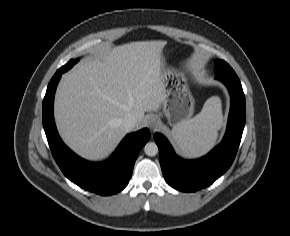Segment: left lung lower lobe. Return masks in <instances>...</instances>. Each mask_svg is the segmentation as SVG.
<instances>
[{
	"label": "left lung lower lobe",
	"instance_id": "left-lung-lower-lobe-1",
	"mask_svg": "<svg viewBox=\"0 0 290 236\" xmlns=\"http://www.w3.org/2000/svg\"><path fill=\"white\" fill-rule=\"evenodd\" d=\"M216 79L226 85L231 96L227 130L218 146L202 158L183 160L162 134H154L164 178L177 190L195 192L209 186L228 170L236 156L245 126V96L235 72L217 74Z\"/></svg>",
	"mask_w": 290,
	"mask_h": 236
}]
</instances>
